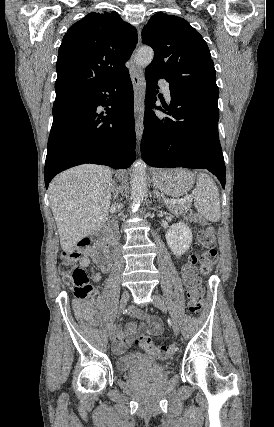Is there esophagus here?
<instances>
[{
  "label": "esophagus",
  "mask_w": 274,
  "mask_h": 427,
  "mask_svg": "<svg viewBox=\"0 0 274 427\" xmlns=\"http://www.w3.org/2000/svg\"><path fill=\"white\" fill-rule=\"evenodd\" d=\"M141 38V31H138V44ZM136 51L133 53L130 59L131 67L129 73L134 90V118H135V131L138 143H140L143 133V117H144V83L145 78L142 70L135 63Z\"/></svg>",
  "instance_id": "obj_1"
}]
</instances>
